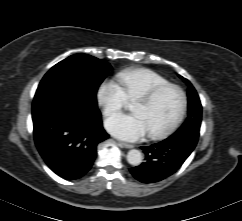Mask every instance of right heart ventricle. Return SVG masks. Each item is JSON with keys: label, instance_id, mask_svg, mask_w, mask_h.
Segmentation results:
<instances>
[{"label": "right heart ventricle", "instance_id": "obj_1", "mask_svg": "<svg viewBox=\"0 0 242 221\" xmlns=\"http://www.w3.org/2000/svg\"><path fill=\"white\" fill-rule=\"evenodd\" d=\"M117 79L129 101H135L157 86L168 83L165 77L148 68L121 71Z\"/></svg>", "mask_w": 242, "mask_h": 221}]
</instances>
